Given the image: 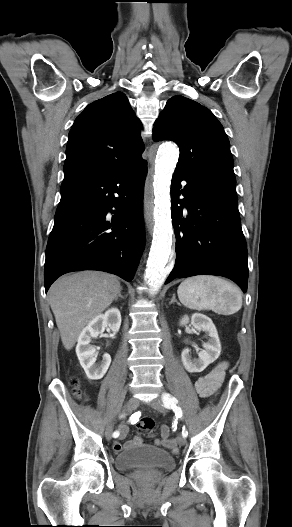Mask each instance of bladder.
Here are the masks:
<instances>
[{"instance_id": "1", "label": "bladder", "mask_w": 292, "mask_h": 527, "mask_svg": "<svg viewBox=\"0 0 292 527\" xmlns=\"http://www.w3.org/2000/svg\"><path fill=\"white\" fill-rule=\"evenodd\" d=\"M174 465V457L169 452L149 445L130 447L116 457V467L122 471L141 468L170 470Z\"/></svg>"}]
</instances>
